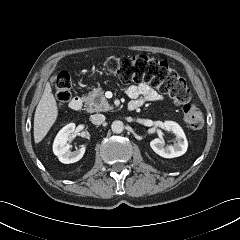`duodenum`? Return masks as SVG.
Listing matches in <instances>:
<instances>
[{
    "label": "duodenum",
    "mask_w": 240,
    "mask_h": 240,
    "mask_svg": "<svg viewBox=\"0 0 240 240\" xmlns=\"http://www.w3.org/2000/svg\"><path fill=\"white\" fill-rule=\"evenodd\" d=\"M82 104H83V101L80 97H74L70 103H69V108L72 110V111H79L82 107ZM137 108H139L138 104L135 103V102H130L128 105H127V109L129 111H134L136 110Z\"/></svg>",
    "instance_id": "obj_1"
}]
</instances>
